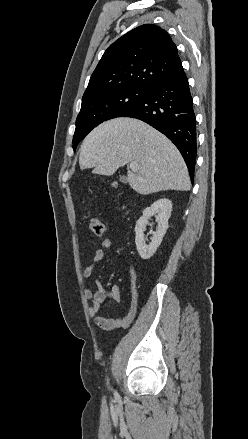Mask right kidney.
I'll return each mask as SVG.
<instances>
[{
  "label": "right kidney",
  "instance_id": "obj_1",
  "mask_svg": "<svg viewBox=\"0 0 248 439\" xmlns=\"http://www.w3.org/2000/svg\"><path fill=\"white\" fill-rule=\"evenodd\" d=\"M172 201L166 198L155 201L150 207L143 211V215L136 222L135 226V244L140 257L147 260L153 256L160 246L162 239L168 229V219L171 216ZM155 216L158 226L156 231H150L152 234L151 242L147 245L144 236L146 225L149 219Z\"/></svg>",
  "mask_w": 248,
  "mask_h": 439
}]
</instances>
